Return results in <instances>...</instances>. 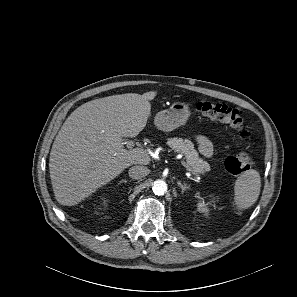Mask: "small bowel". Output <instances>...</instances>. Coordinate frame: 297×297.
Here are the masks:
<instances>
[{
    "label": "small bowel",
    "instance_id": "c3829d8e",
    "mask_svg": "<svg viewBox=\"0 0 297 297\" xmlns=\"http://www.w3.org/2000/svg\"><path fill=\"white\" fill-rule=\"evenodd\" d=\"M196 141L199 145V150H200L201 154L206 158L211 157L213 148H212V143H211L210 139L208 137H206L205 135L199 134L196 137Z\"/></svg>",
    "mask_w": 297,
    "mask_h": 297
}]
</instances>
